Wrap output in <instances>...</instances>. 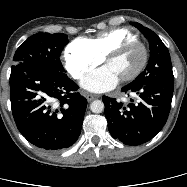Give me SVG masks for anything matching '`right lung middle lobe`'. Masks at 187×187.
Listing matches in <instances>:
<instances>
[{"mask_svg":"<svg viewBox=\"0 0 187 187\" xmlns=\"http://www.w3.org/2000/svg\"><path fill=\"white\" fill-rule=\"evenodd\" d=\"M67 43L65 34L40 32L30 36L19 46L13 60L15 65L30 63L64 72L59 57Z\"/></svg>","mask_w":187,"mask_h":187,"instance_id":"obj_1","label":"right lung middle lobe"}]
</instances>
